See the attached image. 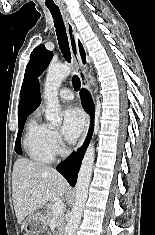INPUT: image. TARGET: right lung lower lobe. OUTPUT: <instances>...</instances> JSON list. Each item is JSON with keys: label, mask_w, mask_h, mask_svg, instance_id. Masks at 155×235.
I'll return each mask as SVG.
<instances>
[{"label": "right lung lower lobe", "mask_w": 155, "mask_h": 235, "mask_svg": "<svg viewBox=\"0 0 155 235\" xmlns=\"http://www.w3.org/2000/svg\"><path fill=\"white\" fill-rule=\"evenodd\" d=\"M81 97L83 100L82 104L84 109L91 115V125L87 138L84 142V145L77 151V153H73L65 162L57 167V170L65 177L71 186H75L76 184L79 168L81 166V162L87 146L90 142L94 126V104L92 98L86 89L81 90Z\"/></svg>", "instance_id": "1"}]
</instances>
